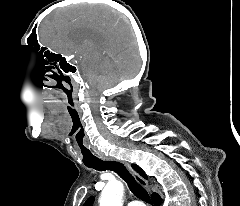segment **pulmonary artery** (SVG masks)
I'll list each match as a JSON object with an SVG mask.
<instances>
[{
  "label": "pulmonary artery",
  "instance_id": "pulmonary-artery-1",
  "mask_svg": "<svg viewBox=\"0 0 240 206\" xmlns=\"http://www.w3.org/2000/svg\"><path fill=\"white\" fill-rule=\"evenodd\" d=\"M127 206H144V204L140 201H131L127 204Z\"/></svg>",
  "mask_w": 240,
  "mask_h": 206
}]
</instances>
